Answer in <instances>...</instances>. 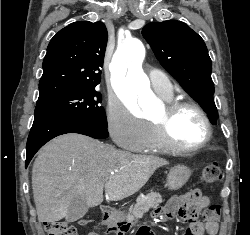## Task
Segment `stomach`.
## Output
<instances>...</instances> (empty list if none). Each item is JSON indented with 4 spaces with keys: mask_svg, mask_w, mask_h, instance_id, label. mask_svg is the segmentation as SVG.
Segmentation results:
<instances>
[{
    "mask_svg": "<svg viewBox=\"0 0 250 235\" xmlns=\"http://www.w3.org/2000/svg\"><path fill=\"white\" fill-rule=\"evenodd\" d=\"M191 176V170L185 165H176L169 170L166 186L171 191L182 188Z\"/></svg>",
    "mask_w": 250,
    "mask_h": 235,
    "instance_id": "obj_1",
    "label": "stomach"
}]
</instances>
